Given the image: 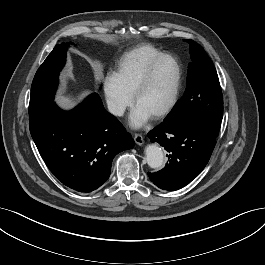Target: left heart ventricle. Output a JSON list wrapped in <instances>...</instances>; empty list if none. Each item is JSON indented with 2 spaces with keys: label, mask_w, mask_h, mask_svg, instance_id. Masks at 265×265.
I'll return each instance as SVG.
<instances>
[{
  "label": "left heart ventricle",
  "mask_w": 265,
  "mask_h": 265,
  "mask_svg": "<svg viewBox=\"0 0 265 265\" xmlns=\"http://www.w3.org/2000/svg\"><path fill=\"white\" fill-rule=\"evenodd\" d=\"M176 81V67L172 60L165 59L155 68L153 75L138 97L135 106L152 116L169 101Z\"/></svg>",
  "instance_id": "obj_1"
}]
</instances>
